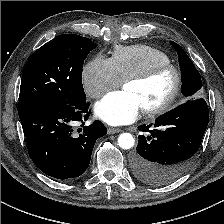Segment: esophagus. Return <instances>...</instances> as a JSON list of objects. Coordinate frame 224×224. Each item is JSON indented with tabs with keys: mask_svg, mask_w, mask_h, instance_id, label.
<instances>
[{
	"mask_svg": "<svg viewBox=\"0 0 224 224\" xmlns=\"http://www.w3.org/2000/svg\"><path fill=\"white\" fill-rule=\"evenodd\" d=\"M119 132H121V130L118 128H113V127L108 128V134H115V133H119Z\"/></svg>",
	"mask_w": 224,
	"mask_h": 224,
	"instance_id": "34e87169",
	"label": "esophagus"
}]
</instances>
